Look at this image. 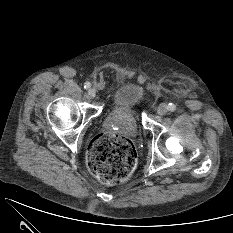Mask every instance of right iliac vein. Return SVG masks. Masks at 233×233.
Masks as SVG:
<instances>
[{
    "instance_id": "right-iliac-vein-1",
    "label": "right iliac vein",
    "mask_w": 233,
    "mask_h": 233,
    "mask_svg": "<svg viewBox=\"0 0 233 233\" xmlns=\"http://www.w3.org/2000/svg\"><path fill=\"white\" fill-rule=\"evenodd\" d=\"M88 95L91 97V98H94L96 96V90L94 88H90L88 90Z\"/></svg>"
}]
</instances>
